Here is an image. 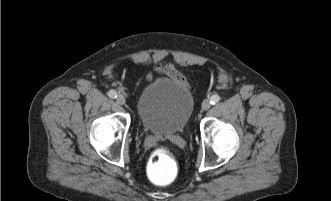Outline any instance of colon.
<instances>
[{
  "label": "colon",
  "mask_w": 331,
  "mask_h": 201,
  "mask_svg": "<svg viewBox=\"0 0 331 201\" xmlns=\"http://www.w3.org/2000/svg\"><path fill=\"white\" fill-rule=\"evenodd\" d=\"M177 169L173 155L166 149H158L149 159L147 173L153 183L164 186L174 181Z\"/></svg>",
  "instance_id": "5ec220e1"
}]
</instances>
